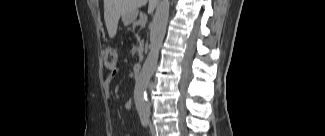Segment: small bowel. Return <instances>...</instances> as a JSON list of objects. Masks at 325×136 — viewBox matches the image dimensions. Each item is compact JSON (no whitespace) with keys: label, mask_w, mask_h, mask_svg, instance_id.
<instances>
[{"label":"small bowel","mask_w":325,"mask_h":136,"mask_svg":"<svg viewBox=\"0 0 325 136\" xmlns=\"http://www.w3.org/2000/svg\"><path fill=\"white\" fill-rule=\"evenodd\" d=\"M113 78H114V74H111L105 80V91H106V93L108 95L111 93V91H110V85H111V82H112ZM130 107H131V102H127L126 103V108H130Z\"/></svg>","instance_id":"obj_1"}]
</instances>
